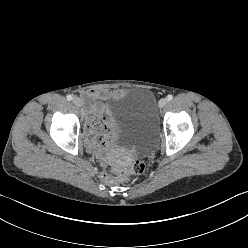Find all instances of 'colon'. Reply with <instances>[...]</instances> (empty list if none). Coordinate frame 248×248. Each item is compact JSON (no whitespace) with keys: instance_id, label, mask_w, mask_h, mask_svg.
Listing matches in <instances>:
<instances>
[{"instance_id":"5ec220e1","label":"colon","mask_w":248,"mask_h":248,"mask_svg":"<svg viewBox=\"0 0 248 248\" xmlns=\"http://www.w3.org/2000/svg\"><path fill=\"white\" fill-rule=\"evenodd\" d=\"M144 170V162L137 160L128 169L125 170L109 169L102 171L101 179L105 183H112L116 181H128L134 177L142 175Z\"/></svg>"}]
</instances>
